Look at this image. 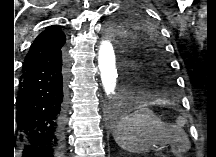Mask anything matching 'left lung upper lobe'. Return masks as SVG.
I'll use <instances>...</instances> for the list:
<instances>
[{"label": "left lung upper lobe", "mask_w": 216, "mask_h": 157, "mask_svg": "<svg viewBox=\"0 0 216 157\" xmlns=\"http://www.w3.org/2000/svg\"><path fill=\"white\" fill-rule=\"evenodd\" d=\"M143 13L126 7L106 25V32L114 39L119 52L127 90L175 98L177 83L158 23H152Z\"/></svg>", "instance_id": "5c2ea615"}]
</instances>
